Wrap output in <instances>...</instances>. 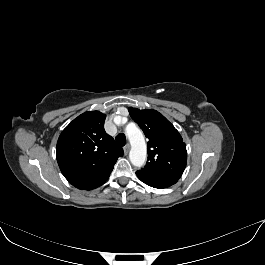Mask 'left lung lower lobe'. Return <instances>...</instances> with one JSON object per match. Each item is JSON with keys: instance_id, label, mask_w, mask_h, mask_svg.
<instances>
[{"instance_id": "left-lung-lower-lobe-1", "label": "left lung lower lobe", "mask_w": 265, "mask_h": 265, "mask_svg": "<svg viewBox=\"0 0 265 265\" xmlns=\"http://www.w3.org/2000/svg\"><path fill=\"white\" fill-rule=\"evenodd\" d=\"M136 175L138 178L146 183L147 185L154 187V188H166L170 187L171 185L175 184L178 180L175 179H169V178H161V177H152L145 174H142L140 172H136Z\"/></svg>"}]
</instances>
